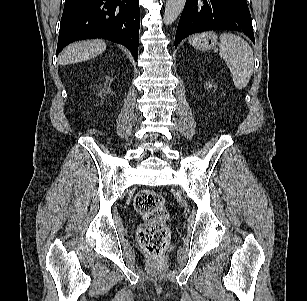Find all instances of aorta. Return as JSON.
<instances>
[{"label": "aorta", "instance_id": "aorta-1", "mask_svg": "<svg viewBox=\"0 0 307 301\" xmlns=\"http://www.w3.org/2000/svg\"><path fill=\"white\" fill-rule=\"evenodd\" d=\"M186 0H167L164 11L165 25H171L181 14Z\"/></svg>", "mask_w": 307, "mask_h": 301}]
</instances>
